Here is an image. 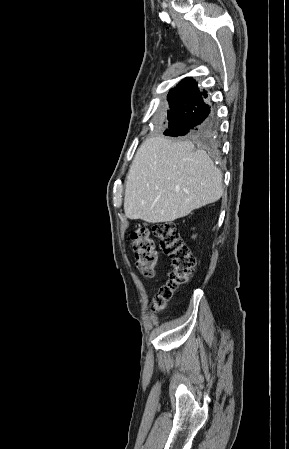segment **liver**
Instances as JSON below:
<instances>
[{"label":"liver","mask_w":289,"mask_h":449,"mask_svg":"<svg viewBox=\"0 0 289 449\" xmlns=\"http://www.w3.org/2000/svg\"><path fill=\"white\" fill-rule=\"evenodd\" d=\"M222 173L191 141L162 136L146 139L130 166L124 196L129 219L172 222L218 201Z\"/></svg>","instance_id":"1"}]
</instances>
